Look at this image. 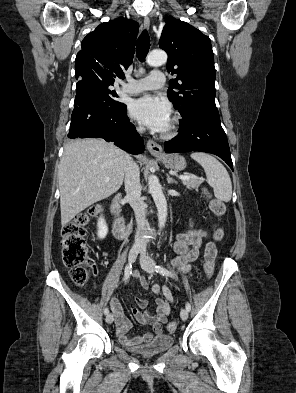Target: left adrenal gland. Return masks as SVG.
Segmentation results:
<instances>
[{"instance_id":"obj_1","label":"left adrenal gland","mask_w":296,"mask_h":393,"mask_svg":"<svg viewBox=\"0 0 296 393\" xmlns=\"http://www.w3.org/2000/svg\"><path fill=\"white\" fill-rule=\"evenodd\" d=\"M166 176H167V183L168 184H172V183L177 184V181L172 179L169 174H167Z\"/></svg>"}]
</instances>
